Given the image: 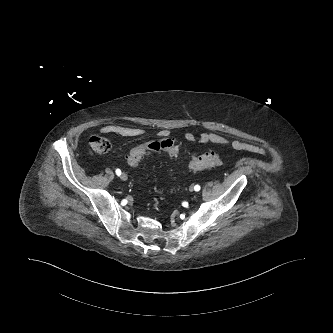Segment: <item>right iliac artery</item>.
I'll return each mask as SVG.
<instances>
[{
  "instance_id": "82829eb1",
  "label": "right iliac artery",
  "mask_w": 333,
  "mask_h": 333,
  "mask_svg": "<svg viewBox=\"0 0 333 333\" xmlns=\"http://www.w3.org/2000/svg\"><path fill=\"white\" fill-rule=\"evenodd\" d=\"M116 174L118 175V176H120L121 175V170L120 169H116Z\"/></svg>"
}]
</instances>
